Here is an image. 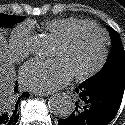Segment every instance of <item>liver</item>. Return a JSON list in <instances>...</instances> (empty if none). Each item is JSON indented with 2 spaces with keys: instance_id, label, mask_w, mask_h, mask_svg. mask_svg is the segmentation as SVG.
<instances>
[{
  "instance_id": "liver-1",
  "label": "liver",
  "mask_w": 125,
  "mask_h": 125,
  "mask_svg": "<svg viewBox=\"0 0 125 125\" xmlns=\"http://www.w3.org/2000/svg\"><path fill=\"white\" fill-rule=\"evenodd\" d=\"M15 85V70L7 42L0 33V110L6 101L12 99Z\"/></svg>"
}]
</instances>
